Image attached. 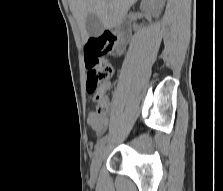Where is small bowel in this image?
<instances>
[{
  "label": "small bowel",
  "mask_w": 223,
  "mask_h": 191,
  "mask_svg": "<svg viewBox=\"0 0 223 191\" xmlns=\"http://www.w3.org/2000/svg\"><path fill=\"white\" fill-rule=\"evenodd\" d=\"M110 86H111L110 82L105 83L104 86L101 88V92L102 93L106 92L107 90L110 89ZM88 122L92 131L96 135L101 136L107 130V127L109 125V118L106 116H98L94 113H91L89 115Z\"/></svg>",
  "instance_id": "1"
}]
</instances>
